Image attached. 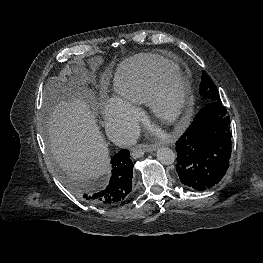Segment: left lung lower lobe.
Returning <instances> with one entry per match:
<instances>
[{
	"label": "left lung lower lobe",
	"instance_id": "obj_1",
	"mask_svg": "<svg viewBox=\"0 0 263 263\" xmlns=\"http://www.w3.org/2000/svg\"><path fill=\"white\" fill-rule=\"evenodd\" d=\"M230 116L221 102H209L176 141L180 181L203 191L218 184L231 157Z\"/></svg>",
	"mask_w": 263,
	"mask_h": 263
}]
</instances>
